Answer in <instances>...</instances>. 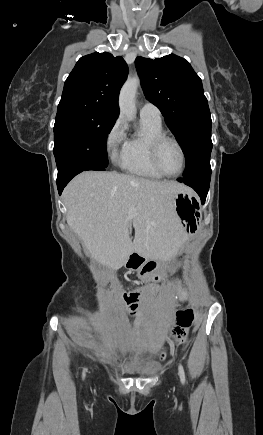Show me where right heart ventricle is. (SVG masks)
I'll use <instances>...</instances> for the list:
<instances>
[{
	"instance_id": "right-heart-ventricle-1",
	"label": "right heart ventricle",
	"mask_w": 263,
	"mask_h": 435,
	"mask_svg": "<svg viewBox=\"0 0 263 435\" xmlns=\"http://www.w3.org/2000/svg\"><path fill=\"white\" fill-rule=\"evenodd\" d=\"M162 123L141 117V132L126 139L121 159V168L129 174L160 179L163 176L154 168L150 158L152 141L163 135Z\"/></svg>"
}]
</instances>
